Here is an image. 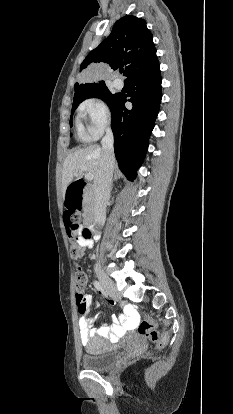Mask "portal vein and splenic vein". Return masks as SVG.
Returning a JSON list of instances; mask_svg holds the SVG:
<instances>
[{
    "instance_id": "obj_1",
    "label": "portal vein and splenic vein",
    "mask_w": 233,
    "mask_h": 414,
    "mask_svg": "<svg viewBox=\"0 0 233 414\" xmlns=\"http://www.w3.org/2000/svg\"><path fill=\"white\" fill-rule=\"evenodd\" d=\"M81 170H82V171H86V168H85V167H82V168H81ZM85 178H86L87 180H92L94 177H93V175H92V174H90V173H86Z\"/></svg>"
}]
</instances>
